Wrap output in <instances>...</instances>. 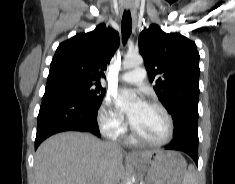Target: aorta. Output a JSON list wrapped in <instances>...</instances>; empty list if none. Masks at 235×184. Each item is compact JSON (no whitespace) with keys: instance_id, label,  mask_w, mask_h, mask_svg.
<instances>
[{"instance_id":"1","label":"aorta","mask_w":235,"mask_h":184,"mask_svg":"<svg viewBox=\"0 0 235 184\" xmlns=\"http://www.w3.org/2000/svg\"><path fill=\"white\" fill-rule=\"evenodd\" d=\"M142 64V56H139V54H127L124 58L123 68L124 70H130V68H136V66H142ZM127 184H132L131 180Z\"/></svg>"}]
</instances>
